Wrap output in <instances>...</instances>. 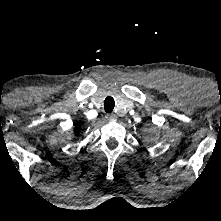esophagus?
<instances>
[{"label": "esophagus", "instance_id": "1", "mask_svg": "<svg viewBox=\"0 0 221 221\" xmlns=\"http://www.w3.org/2000/svg\"><path fill=\"white\" fill-rule=\"evenodd\" d=\"M107 119L110 121H116L117 116L115 114H107Z\"/></svg>", "mask_w": 221, "mask_h": 221}]
</instances>
